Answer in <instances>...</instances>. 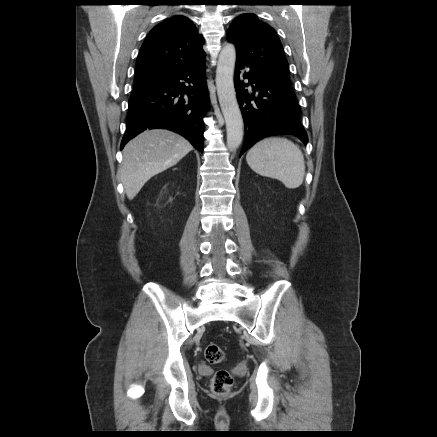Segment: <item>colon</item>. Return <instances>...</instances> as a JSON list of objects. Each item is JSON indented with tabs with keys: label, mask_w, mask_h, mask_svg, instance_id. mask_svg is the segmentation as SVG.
<instances>
[{
	"label": "colon",
	"mask_w": 437,
	"mask_h": 437,
	"mask_svg": "<svg viewBox=\"0 0 437 437\" xmlns=\"http://www.w3.org/2000/svg\"><path fill=\"white\" fill-rule=\"evenodd\" d=\"M206 360L211 364H221L226 360L225 352L216 344L210 343L204 350ZM232 375L224 369L218 370L211 382V389L217 395L228 394L233 386Z\"/></svg>",
	"instance_id": "5ec220e1"
}]
</instances>
